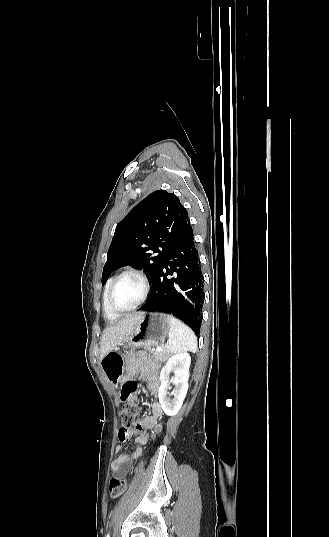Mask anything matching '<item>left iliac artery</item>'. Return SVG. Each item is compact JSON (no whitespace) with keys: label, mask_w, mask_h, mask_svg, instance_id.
<instances>
[{"label":"left iliac artery","mask_w":329,"mask_h":537,"mask_svg":"<svg viewBox=\"0 0 329 537\" xmlns=\"http://www.w3.org/2000/svg\"><path fill=\"white\" fill-rule=\"evenodd\" d=\"M107 537H110V534H109V533L107 534Z\"/></svg>","instance_id":"left-iliac-artery-1"}]
</instances>
